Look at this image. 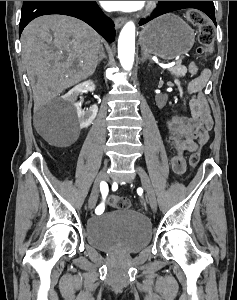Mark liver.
<instances>
[{"label": "liver", "instance_id": "6515ba94", "mask_svg": "<svg viewBox=\"0 0 237 300\" xmlns=\"http://www.w3.org/2000/svg\"><path fill=\"white\" fill-rule=\"evenodd\" d=\"M100 41V35L89 25L65 15H44L25 27L22 61L35 107L93 75Z\"/></svg>", "mask_w": 237, "mask_h": 300}]
</instances>
